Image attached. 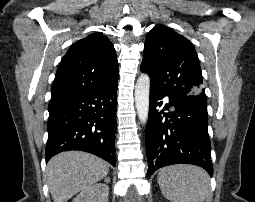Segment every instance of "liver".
Listing matches in <instances>:
<instances>
[{
  "mask_svg": "<svg viewBox=\"0 0 255 202\" xmlns=\"http://www.w3.org/2000/svg\"><path fill=\"white\" fill-rule=\"evenodd\" d=\"M109 164L89 153L67 151L54 156L47 164L46 176L54 202H67L84 188L102 180Z\"/></svg>",
  "mask_w": 255,
  "mask_h": 202,
  "instance_id": "obj_1",
  "label": "liver"
}]
</instances>
